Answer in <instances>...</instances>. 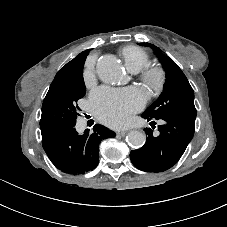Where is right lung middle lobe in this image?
<instances>
[{
  "label": "right lung middle lobe",
  "instance_id": "right-lung-middle-lobe-1",
  "mask_svg": "<svg viewBox=\"0 0 227 227\" xmlns=\"http://www.w3.org/2000/svg\"><path fill=\"white\" fill-rule=\"evenodd\" d=\"M83 65L76 75L55 78L50 85L42 105L41 134L54 128L76 124L77 101L86 93L83 81Z\"/></svg>",
  "mask_w": 227,
  "mask_h": 227
}]
</instances>
